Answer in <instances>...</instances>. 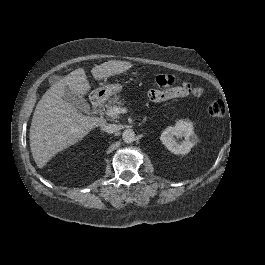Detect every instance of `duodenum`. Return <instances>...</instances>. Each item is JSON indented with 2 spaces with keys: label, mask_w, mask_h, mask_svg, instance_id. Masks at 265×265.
<instances>
[{
  "label": "duodenum",
  "mask_w": 265,
  "mask_h": 265,
  "mask_svg": "<svg viewBox=\"0 0 265 265\" xmlns=\"http://www.w3.org/2000/svg\"><path fill=\"white\" fill-rule=\"evenodd\" d=\"M101 96L99 94H92L90 96V102L93 107H98L101 103Z\"/></svg>",
  "instance_id": "obj_1"
}]
</instances>
